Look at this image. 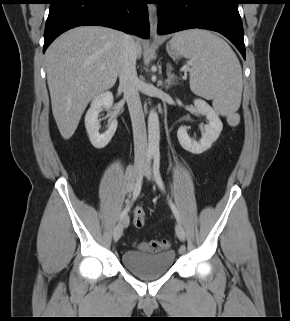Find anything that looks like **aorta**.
Masks as SVG:
<instances>
[{"label": "aorta", "mask_w": 290, "mask_h": 321, "mask_svg": "<svg viewBox=\"0 0 290 321\" xmlns=\"http://www.w3.org/2000/svg\"><path fill=\"white\" fill-rule=\"evenodd\" d=\"M160 128L158 113L151 109L148 115V147L152 151L159 150Z\"/></svg>", "instance_id": "aorta-1"}]
</instances>
